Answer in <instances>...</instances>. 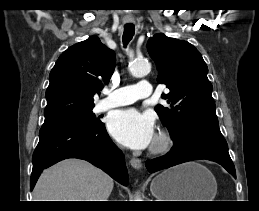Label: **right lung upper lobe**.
<instances>
[{
    "label": "right lung upper lobe",
    "mask_w": 259,
    "mask_h": 211,
    "mask_svg": "<svg viewBox=\"0 0 259 211\" xmlns=\"http://www.w3.org/2000/svg\"><path fill=\"white\" fill-rule=\"evenodd\" d=\"M115 62V53L96 36L63 52L49 75L43 125L92 110L93 96L108 84Z\"/></svg>",
    "instance_id": "cb5924a9"
}]
</instances>
